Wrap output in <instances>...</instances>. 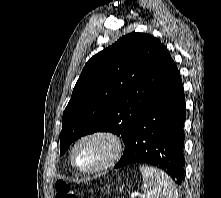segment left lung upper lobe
Returning <instances> with one entry per match:
<instances>
[{
	"label": "left lung upper lobe",
	"mask_w": 221,
	"mask_h": 198,
	"mask_svg": "<svg viewBox=\"0 0 221 198\" xmlns=\"http://www.w3.org/2000/svg\"><path fill=\"white\" fill-rule=\"evenodd\" d=\"M174 64L155 37L130 33L93 56L63 113L60 155L81 136L109 131L126 144Z\"/></svg>",
	"instance_id": "1"
}]
</instances>
